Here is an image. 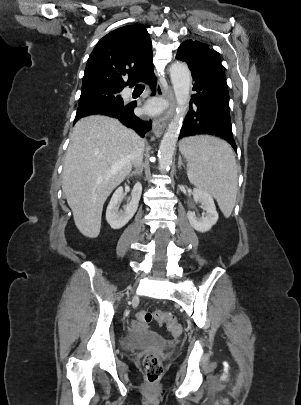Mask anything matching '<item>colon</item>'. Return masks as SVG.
Segmentation results:
<instances>
[{
	"label": "colon",
	"mask_w": 301,
	"mask_h": 405,
	"mask_svg": "<svg viewBox=\"0 0 301 405\" xmlns=\"http://www.w3.org/2000/svg\"><path fill=\"white\" fill-rule=\"evenodd\" d=\"M136 317L142 324H150L153 320L157 321L159 324L166 323L174 336L181 334L182 328L180 324L167 312L161 310L154 312L141 311L137 313ZM142 364L147 382L153 385L158 381L163 372V364L160 357L155 352H149L144 356Z\"/></svg>",
	"instance_id": "colon-1"
}]
</instances>
